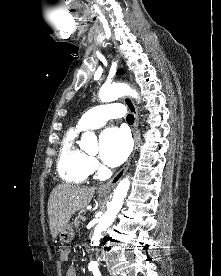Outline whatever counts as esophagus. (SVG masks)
Returning a JSON list of instances; mask_svg holds the SVG:
<instances>
[{
    "instance_id": "1",
    "label": "esophagus",
    "mask_w": 221,
    "mask_h": 276,
    "mask_svg": "<svg viewBox=\"0 0 221 276\" xmlns=\"http://www.w3.org/2000/svg\"><path fill=\"white\" fill-rule=\"evenodd\" d=\"M124 101L126 106L134 115L133 137H134L135 145L130 157L128 158L124 166L119 170V172L107 183L99 187L98 192L103 194L109 193L117 185V183L121 180V178L125 175L138 146V125H139L138 110L136 108L135 103L130 97H125Z\"/></svg>"
}]
</instances>
